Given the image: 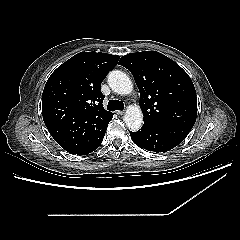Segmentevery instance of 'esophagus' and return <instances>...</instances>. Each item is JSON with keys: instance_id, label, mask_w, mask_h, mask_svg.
<instances>
[{"instance_id": "esophagus-1", "label": "esophagus", "mask_w": 240, "mask_h": 240, "mask_svg": "<svg viewBox=\"0 0 240 240\" xmlns=\"http://www.w3.org/2000/svg\"><path fill=\"white\" fill-rule=\"evenodd\" d=\"M116 113L120 116H122L124 114V111H116Z\"/></svg>"}]
</instances>
